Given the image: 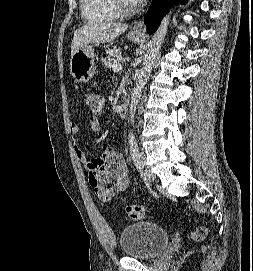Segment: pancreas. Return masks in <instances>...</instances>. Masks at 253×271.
Instances as JSON below:
<instances>
[{"label":"pancreas","mask_w":253,"mask_h":271,"mask_svg":"<svg viewBox=\"0 0 253 271\" xmlns=\"http://www.w3.org/2000/svg\"><path fill=\"white\" fill-rule=\"evenodd\" d=\"M121 62L120 49H114L109 55L102 59L104 67L114 69L115 65H119Z\"/></svg>","instance_id":"pancreas-1"}]
</instances>
